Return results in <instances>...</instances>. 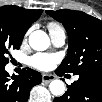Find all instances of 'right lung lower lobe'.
I'll return each instance as SVG.
<instances>
[{"label":"right lung lower lobe","instance_id":"98d812e1","mask_svg":"<svg viewBox=\"0 0 102 102\" xmlns=\"http://www.w3.org/2000/svg\"><path fill=\"white\" fill-rule=\"evenodd\" d=\"M41 81V74L35 70L24 68L18 76L10 77L0 67V99L7 102H27L31 88Z\"/></svg>","mask_w":102,"mask_h":102}]
</instances>
